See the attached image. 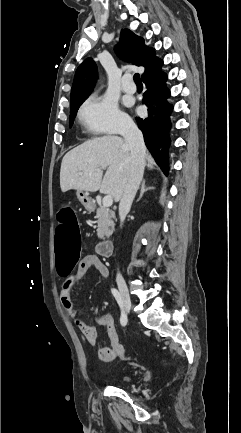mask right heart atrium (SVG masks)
<instances>
[{
	"instance_id": "obj_1",
	"label": "right heart atrium",
	"mask_w": 241,
	"mask_h": 433,
	"mask_svg": "<svg viewBox=\"0 0 241 433\" xmlns=\"http://www.w3.org/2000/svg\"><path fill=\"white\" fill-rule=\"evenodd\" d=\"M78 117L91 134H119L132 128V121L122 112L115 100L105 95L92 94L81 105Z\"/></svg>"
}]
</instances>
